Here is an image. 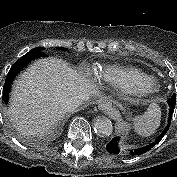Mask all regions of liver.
Instances as JSON below:
<instances>
[{"mask_svg":"<svg viewBox=\"0 0 177 177\" xmlns=\"http://www.w3.org/2000/svg\"><path fill=\"white\" fill-rule=\"evenodd\" d=\"M96 94L93 81L54 57L34 61L13 85L7 115L22 135L38 136L64 117L60 104ZM86 101V100H85Z\"/></svg>","mask_w":177,"mask_h":177,"instance_id":"1","label":"liver"}]
</instances>
